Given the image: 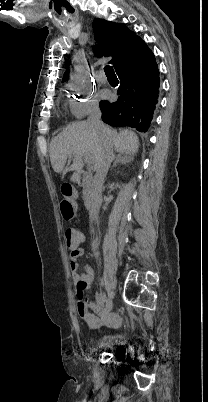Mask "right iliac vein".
<instances>
[{"instance_id":"1","label":"right iliac vein","mask_w":208,"mask_h":402,"mask_svg":"<svg viewBox=\"0 0 208 402\" xmlns=\"http://www.w3.org/2000/svg\"><path fill=\"white\" fill-rule=\"evenodd\" d=\"M112 306H113V301H112V299H109L108 302H107V305H106L107 313L111 312Z\"/></svg>"}]
</instances>
